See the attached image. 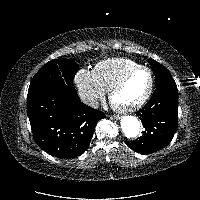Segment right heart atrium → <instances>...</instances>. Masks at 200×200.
<instances>
[{"mask_svg":"<svg viewBox=\"0 0 200 200\" xmlns=\"http://www.w3.org/2000/svg\"><path fill=\"white\" fill-rule=\"evenodd\" d=\"M74 83L82 101L89 107H96L107 90L98 82L94 70L79 69L74 76Z\"/></svg>","mask_w":200,"mask_h":200,"instance_id":"right-heart-atrium-1","label":"right heart atrium"}]
</instances>
